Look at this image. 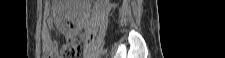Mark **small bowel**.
<instances>
[{"instance_id": "small-bowel-1", "label": "small bowel", "mask_w": 225, "mask_h": 58, "mask_svg": "<svg viewBox=\"0 0 225 58\" xmlns=\"http://www.w3.org/2000/svg\"><path fill=\"white\" fill-rule=\"evenodd\" d=\"M49 11V7L46 9ZM54 24V21L52 18L47 17L46 24L43 30L44 34V40H43V52L49 57V58H55L57 57V53L59 52V46L58 43L53 39L51 34V28ZM66 35V44L69 43H75L76 42V31H68L65 33Z\"/></svg>"}]
</instances>
